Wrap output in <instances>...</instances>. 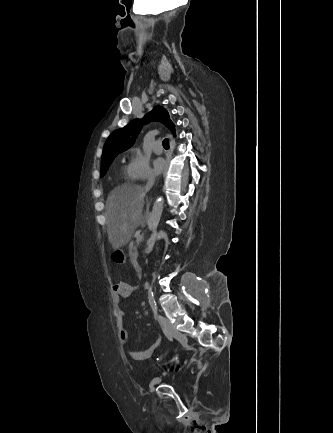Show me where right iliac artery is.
I'll list each match as a JSON object with an SVG mask.
<instances>
[{"label": "right iliac artery", "mask_w": 333, "mask_h": 433, "mask_svg": "<svg viewBox=\"0 0 333 433\" xmlns=\"http://www.w3.org/2000/svg\"><path fill=\"white\" fill-rule=\"evenodd\" d=\"M162 329H163L164 335L167 337V339L169 341H173V336L171 335V333L166 328H162Z\"/></svg>", "instance_id": "1"}]
</instances>
